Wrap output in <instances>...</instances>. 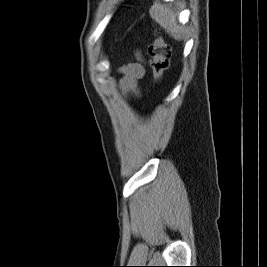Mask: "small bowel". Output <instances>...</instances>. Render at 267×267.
<instances>
[{"label": "small bowel", "mask_w": 267, "mask_h": 267, "mask_svg": "<svg viewBox=\"0 0 267 267\" xmlns=\"http://www.w3.org/2000/svg\"><path fill=\"white\" fill-rule=\"evenodd\" d=\"M138 59L141 60L140 54H137ZM120 72L123 74L121 80V88L124 93H135L136 92V82L145 73L144 65L141 61L130 63L126 66L120 68Z\"/></svg>", "instance_id": "obj_1"}]
</instances>
